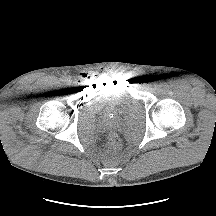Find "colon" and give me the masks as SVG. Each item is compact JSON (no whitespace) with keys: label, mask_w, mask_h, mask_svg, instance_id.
I'll list each match as a JSON object with an SVG mask.
<instances>
[{"label":"colon","mask_w":216,"mask_h":216,"mask_svg":"<svg viewBox=\"0 0 216 216\" xmlns=\"http://www.w3.org/2000/svg\"><path fill=\"white\" fill-rule=\"evenodd\" d=\"M105 145L109 148H117L120 145L118 135L115 133H109L105 138Z\"/></svg>","instance_id":"colon-1"}]
</instances>
